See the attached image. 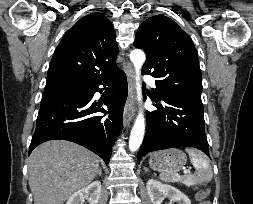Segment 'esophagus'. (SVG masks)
<instances>
[{
  "mask_svg": "<svg viewBox=\"0 0 253 204\" xmlns=\"http://www.w3.org/2000/svg\"><path fill=\"white\" fill-rule=\"evenodd\" d=\"M123 67L127 76L128 81V97L124 107L123 122L124 125H129L134 119L135 115V83H134V72L131 64L128 61H124Z\"/></svg>",
  "mask_w": 253,
  "mask_h": 204,
  "instance_id": "obj_1",
  "label": "esophagus"
}]
</instances>
